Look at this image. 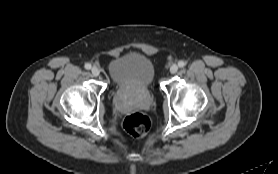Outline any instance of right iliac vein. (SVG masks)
<instances>
[{
    "mask_svg": "<svg viewBox=\"0 0 278 174\" xmlns=\"http://www.w3.org/2000/svg\"><path fill=\"white\" fill-rule=\"evenodd\" d=\"M91 73H92V75L93 76H95V77H97V76H99V74H100V70H99V68H97V67H92V69H91Z\"/></svg>",
    "mask_w": 278,
    "mask_h": 174,
    "instance_id": "1",
    "label": "right iliac vein"
}]
</instances>
